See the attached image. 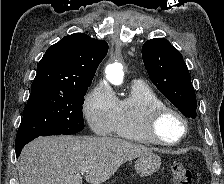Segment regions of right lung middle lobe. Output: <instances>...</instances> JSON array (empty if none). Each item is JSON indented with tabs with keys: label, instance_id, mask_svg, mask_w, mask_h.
Segmentation results:
<instances>
[{
	"label": "right lung middle lobe",
	"instance_id": "obj_1",
	"mask_svg": "<svg viewBox=\"0 0 224 184\" xmlns=\"http://www.w3.org/2000/svg\"><path fill=\"white\" fill-rule=\"evenodd\" d=\"M89 86L31 89L15 146L42 135H69L84 128L82 105Z\"/></svg>",
	"mask_w": 224,
	"mask_h": 184
}]
</instances>
